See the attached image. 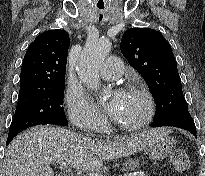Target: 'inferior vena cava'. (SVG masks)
<instances>
[{"label":"inferior vena cava","mask_w":205,"mask_h":176,"mask_svg":"<svg viewBox=\"0 0 205 176\" xmlns=\"http://www.w3.org/2000/svg\"><path fill=\"white\" fill-rule=\"evenodd\" d=\"M87 139H89V140L91 139L88 134H87Z\"/></svg>","instance_id":"obj_1"}]
</instances>
